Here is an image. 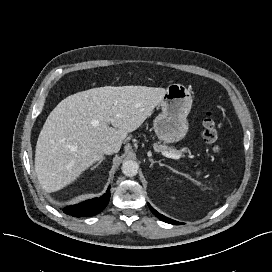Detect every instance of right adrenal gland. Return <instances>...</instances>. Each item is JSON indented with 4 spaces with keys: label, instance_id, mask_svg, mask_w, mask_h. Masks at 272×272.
<instances>
[{
    "label": "right adrenal gland",
    "instance_id": "right-adrenal-gland-1",
    "mask_svg": "<svg viewBox=\"0 0 272 272\" xmlns=\"http://www.w3.org/2000/svg\"><path fill=\"white\" fill-rule=\"evenodd\" d=\"M103 160H105V157H102V158L99 160V162H98L96 165H94L91 169L94 170L95 168H97V167L103 162Z\"/></svg>",
    "mask_w": 272,
    "mask_h": 272
}]
</instances>
